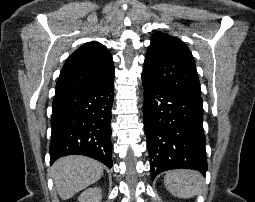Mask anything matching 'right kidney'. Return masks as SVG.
<instances>
[{
  "label": "right kidney",
  "mask_w": 255,
  "mask_h": 202,
  "mask_svg": "<svg viewBox=\"0 0 255 202\" xmlns=\"http://www.w3.org/2000/svg\"><path fill=\"white\" fill-rule=\"evenodd\" d=\"M102 194L99 187L89 188L83 191L78 198L79 202H101Z\"/></svg>",
  "instance_id": "right-kidney-1"
}]
</instances>
